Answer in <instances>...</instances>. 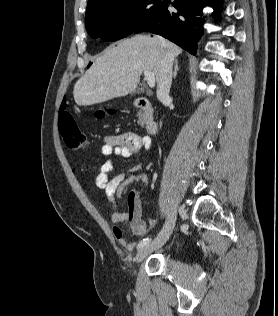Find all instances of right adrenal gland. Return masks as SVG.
<instances>
[{"label":"right adrenal gland","instance_id":"1","mask_svg":"<svg viewBox=\"0 0 278 316\" xmlns=\"http://www.w3.org/2000/svg\"><path fill=\"white\" fill-rule=\"evenodd\" d=\"M179 70V66H178V60L175 59V67H174V72H173V78H176L177 75V71Z\"/></svg>","mask_w":278,"mask_h":316}]
</instances>
